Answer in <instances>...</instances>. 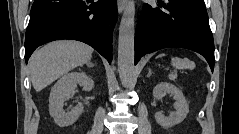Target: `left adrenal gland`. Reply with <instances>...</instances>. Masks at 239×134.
Returning <instances> with one entry per match:
<instances>
[{
    "instance_id": "obj_1",
    "label": "left adrenal gland",
    "mask_w": 239,
    "mask_h": 134,
    "mask_svg": "<svg viewBox=\"0 0 239 134\" xmlns=\"http://www.w3.org/2000/svg\"><path fill=\"white\" fill-rule=\"evenodd\" d=\"M148 74H147V77H150L151 75H152V70H151V68H148Z\"/></svg>"
}]
</instances>
